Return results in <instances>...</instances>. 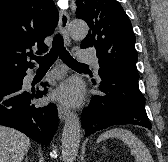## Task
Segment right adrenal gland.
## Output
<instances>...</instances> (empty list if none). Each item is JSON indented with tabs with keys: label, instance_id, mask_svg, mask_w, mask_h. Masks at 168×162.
Instances as JSON below:
<instances>
[{
	"label": "right adrenal gland",
	"instance_id": "2a0ac1e0",
	"mask_svg": "<svg viewBox=\"0 0 168 162\" xmlns=\"http://www.w3.org/2000/svg\"><path fill=\"white\" fill-rule=\"evenodd\" d=\"M25 162H28V158L25 159Z\"/></svg>",
	"mask_w": 168,
	"mask_h": 162
}]
</instances>
